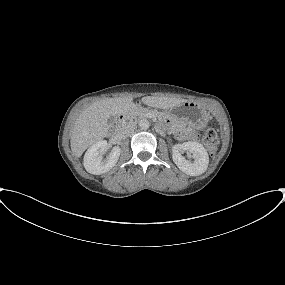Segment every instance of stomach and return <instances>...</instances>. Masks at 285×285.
<instances>
[{
  "mask_svg": "<svg viewBox=\"0 0 285 285\" xmlns=\"http://www.w3.org/2000/svg\"><path fill=\"white\" fill-rule=\"evenodd\" d=\"M169 114L186 124L200 128L204 126L209 119L208 112L204 106L194 101H186L179 106L170 109Z\"/></svg>",
  "mask_w": 285,
  "mask_h": 285,
  "instance_id": "stomach-1",
  "label": "stomach"
}]
</instances>
